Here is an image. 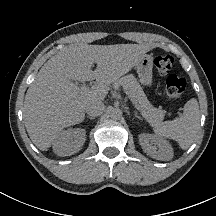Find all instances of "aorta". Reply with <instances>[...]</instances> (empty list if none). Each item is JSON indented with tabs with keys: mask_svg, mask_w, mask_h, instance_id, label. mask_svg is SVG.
<instances>
[{
	"mask_svg": "<svg viewBox=\"0 0 216 216\" xmlns=\"http://www.w3.org/2000/svg\"><path fill=\"white\" fill-rule=\"evenodd\" d=\"M110 117L112 119H120L122 117V110L120 108H112L110 110Z\"/></svg>",
	"mask_w": 216,
	"mask_h": 216,
	"instance_id": "1",
	"label": "aorta"
}]
</instances>
